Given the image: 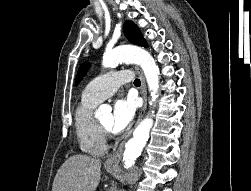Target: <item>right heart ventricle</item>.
<instances>
[{
  "mask_svg": "<svg viewBox=\"0 0 251 191\" xmlns=\"http://www.w3.org/2000/svg\"><path fill=\"white\" fill-rule=\"evenodd\" d=\"M70 91H74L70 88ZM98 100L81 97L74 112V127L81 152L91 156H103L107 152L105 134L93 117V109Z\"/></svg>",
  "mask_w": 251,
  "mask_h": 191,
  "instance_id": "1",
  "label": "right heart ventricle"
}]
</instances>
